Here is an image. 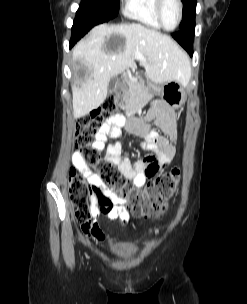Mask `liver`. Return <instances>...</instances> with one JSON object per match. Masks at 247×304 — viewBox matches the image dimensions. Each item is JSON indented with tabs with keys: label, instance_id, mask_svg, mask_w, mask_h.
Masks as SVG:
<instances>
[{
	"label": "liver",
	"instance_id": "1",
	"mask_svg": "<svg viewBox=\"0 0 247 304\" xmlns=\"http://www.w3.org/2000/svg\"><path fill=\"white\" fill-rule=\"evenodd\" d=\"M111 40L120 45L109 47ZM135 52L145 57L140 60L145 76L156 84L175 81L184 85L191 77L188 56L168 35L138 23L98 25L72 50V59L86 69L84 80L72 86L75 119L105 101L113 76L135 68Z\"/></svg>",
	"mask_w": 247,
	"mask_h": 304
}]
</instances>
